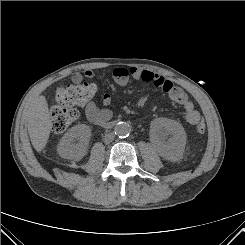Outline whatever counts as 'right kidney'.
I'll return each instance as SVG.
<instances>
[{
	"instance_id": "ca27d5eb",
	"label": "right kidney",
	"mask_w": 245,
	"mask_h": 245,
	"mask_svg": "<svg viewBox=\"0 0 245 245\" xmlns=\"http://www.w3.org/2000/svg\"><path fill=\"white\" fill-rule=\"evenodd\" d=\"M91 137V129L85 124L70 128L60 140L58 153L65 159H81L85 156Z\"/></svg>"
}]
</instances>
